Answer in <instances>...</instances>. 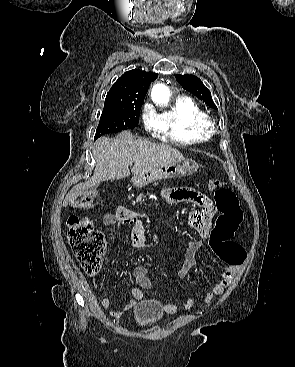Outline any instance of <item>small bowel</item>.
<instances>
[{
    "instance_id": "obj_1",
    "label": "small bowel",
    "mask_w": 295,
    "mask_h": 367,
    "mask_svg": "<svg viewBox=\"0 0 295 367\" xmlns=\"http://www.w3.org/2000/svg\"><path fill=\"white\" fill-rule=\"evenodd\" d=\"M165 199L170 203H193L203 208L201 212L200 208H185L184 214L188 215V223L198 233L199 238H195L188 243L185 251V260L182 267L178 271V276L181 279L189 276L192 269L196 266V253L202 245V239L209 236L210 223L214 217L216 210L212 201L200 192L189 187H180L164 192ZM103 224L106 226L111 225H133L129 236V247L133 249H139L144 245L145 236L147 231V225L144 220L138 219L132 209L127 206H120L115 212L107 213L103 216ZM215 253L219 256L216 250ZM220 257V256H219ZM224 262V265L220 271V280L215 282L209 292L204 293L199 298L201 305L205 306L211 303L214 296L222 294L231 284L234 276L238 272L240 265H231ZM133 277L137 284L131 288V294L133 299L125 304L121 310H115L110 312L112 318H119L124 311L133 308L138 301L143 300L144 294L142 290H149L152 287L151 279L148 275V269L145 265H138L133 270ZM93 284L98 286V281L94 279ZM193 298H186L181 306L174 304H165L163 306L164 311L167 313H177L179 311H186L194 306ZM101 306L104 309H108L111 306V299L104 297L101 300Z\"/></svg>"
}]
</instances>
